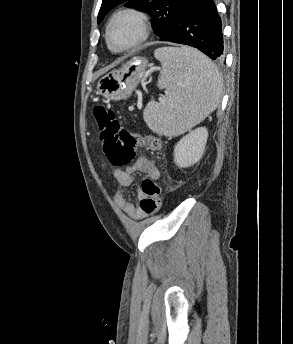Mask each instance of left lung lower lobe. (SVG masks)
I'll return each instance as SVG.
<instances>
[{
  "instance_id": "0a47b994",
  "label": "left lung lower lobe",
  "mask_w": 293,
  "mask_h": 344,
  "mask_svg": "<svg viewBox=\"0 0 293 344\" xmlns=\"http://www.w3.org/2000/svg\"><path fill=\"white\" fill-rule=\"evenodd\" d=\"M160 40L189 45L213 60L222 59V23L214 1L188 0L173 27Z\"/></svg>"
}]
</instances>
